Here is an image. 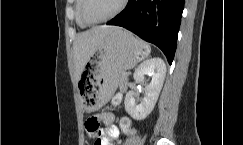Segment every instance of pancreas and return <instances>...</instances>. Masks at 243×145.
Wrapping results in <instances>:
<instances>
[{
  "label": "pancreas",
  "mask_w": 243,
  "mask_h": 145,
  "mask_svg": "<svg viewBox=\"0 0 243 145\" xmlns=\"http://www.w3.org/2000/svg\"><path fill=\"white\" fill-rule=\"evenodd\" d=\"M127 76L124 75V73H121L119 76V85L121 88H124L127 84Z\"/></svg>",
  "instance_id": "obj_1"
}]
</instances>
